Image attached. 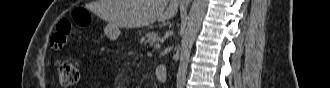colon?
Returning <instances> with one entry per match:
<instances>
[{"label":"colon","instance_id":"colon-1","mask_svg":"<svg viewBox=\"0 0 330 88\" xmlns=\"http://www.w3.org/2000/svg\"><path fill=\"white\" fill-rule=\"evenodd\" d=\"M74 19L79 25H86L89 21L88 15L83 10L74 12ZM72 30V23L68 18H62L56 24V29L50 38V46L53 50L62 49ZM57 76L60 84L70 87L77 84L79 80V63L73 58H68L57 63Z\"/></svg>","mask_w":330,"mask_h":88}]
</instances>
